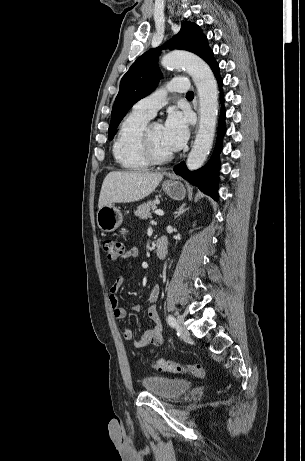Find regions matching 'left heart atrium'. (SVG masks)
<instances>
[{
	"mask_svg": "<svg viewBox=\"0 0 305 461\" xmlns=\"http://www.w3.org/2000/svg\"><path fill=\"white\" fill-rule=\"evenodd\" d=\"M189 137V120L187 115L173 111L170 112L163 126V140L166 147L175 152L180 150Z\"/></svg>",
	"mask_w": 305,
	"mask_h": 461,
	"instance_id": "obj_1",
	"label": "left heart atrium"
}]
</instances>
